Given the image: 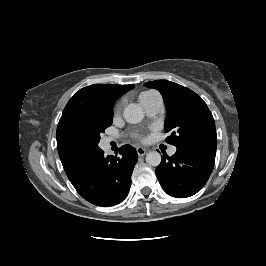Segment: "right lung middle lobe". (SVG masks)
<instances>
[{
  "mask_svg": "<svg viewBox=\"0 0 266 266\" xmlns=\"http://www.w3.org/2000/svg\"><path fill=\"white\" fill-rule=\"evenodd\" d=\"M112 124V110H107L93 116L88 122L75 129L69 139L78 148L98 152L100 134Z\"/></svg>",
  "mask_w": 266,
  "mask_h": 266,
  "instance_id": "obj_1",
  "label": "right lung middle lobe"
}]
</instances>
